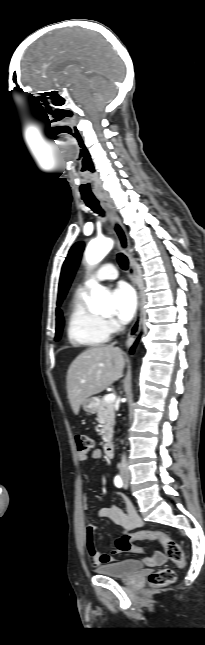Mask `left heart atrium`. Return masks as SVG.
<instances>
[{"label": "left heart atrium", "instance_id": "39dd6f15", "mask_svg": "<svg viewBox=\"0 0 205 645\" xmlns=\"http://www.w3.org/2000/svg\"><path fill=\"white\" fill-rule=\"evenodd\" d=\"M116 303V316L123 322H129L137 309V297L133 289L124 283L119 284L113 291Z\"/></svg>", "mask_w": 205, "mask_h": 645}]
</instances>
